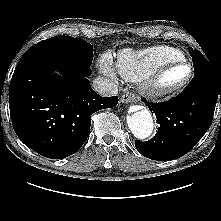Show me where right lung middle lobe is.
I'll use <instances>...</instances> for the list:
<instances>
[{"label":"right lung middle lobe","mask_w":221,"mask_h":221,"mask_svg":"<svg viewBox=\"0 0 221 221\" xmlns=\"http://www.w3.org/2000/svg\"><path fill=\"white\" fill-rule=\"evenodd\" d=\"M71 61L90 66L93 59V47L85 40L70 36H55L38 42L36 45Z\"/></svg>","instance_id":"1"}]
</instances>
